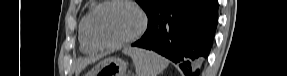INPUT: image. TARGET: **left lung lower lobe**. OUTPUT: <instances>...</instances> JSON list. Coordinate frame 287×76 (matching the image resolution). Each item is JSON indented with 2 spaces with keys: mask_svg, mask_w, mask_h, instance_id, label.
Wrapping results in <instances>:
<instances>
[{
  "mask_svg": "<svg viewBox=\"0 0 287 76\" xmlns=\"http://www.w3.org/2000/svg\"><path fill=\"white\" fill-rule=\"evenodd\" d=\"M217 20V0H169L148 16L146 32L132 46L156 51L186 76H199Z\"/></svg>",
  "mask_w": 287,
  "mask_h": 76,
  "instance_id": "1",
  "label": "left lung lower lobe"
}]
</instances>
